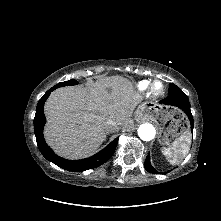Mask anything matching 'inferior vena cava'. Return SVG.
Instances as JSON below:
<instances>
[{
    "label": "inferior vena cava",
    "mask_w": 221,
    "mask_h": 221,
    "mask_svg": "<svg viewBox=\"0 0 221 221\" xmlns=\"http://www.w3.org/2000/svg\"><path fill=\"white\" fill-rule=\"evenodd\" d=\"M104 127L107 133L115 132L119 130L118 125L113 120H108L104 123Z\"/></svg>",
    "instance_id": "obj_1"
}]
</instances>
